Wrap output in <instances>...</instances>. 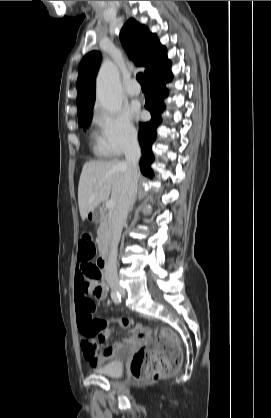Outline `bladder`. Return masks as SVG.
Here are the masks:
<instances>
[{
	"label": "bladder",
	"mask_w": 271,
	"mask_h": 418,
	"mask_svg": "<svg viewBox=\"0 0 271 418\" xmlns=\"http://www.w3.org/2000/svg\"><path fill=\"white\" fill-rule=\"evenodd\" d=\"M123 362L121 360H112L106 364L95 368L94 372L110 378L120 377L123 373Z\"/></svg>",
	"instance_id": "1"
}]
</instances>
